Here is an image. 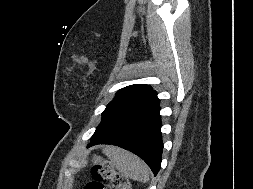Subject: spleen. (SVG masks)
I'll return each mask as SVG.
<instances>
[{
  "mask_svg": "<svg viewBox=\"0 0 253 189\" xmlns=\"http://www.w3.org/2000/svg\"><path fill=\"white\" fill-rule=\"evenodd\" d=\"M103 153L111 160L116 169L133 180L149 181L150 170L143 160L131 152L116 146H106Z\"/></svg>",
  "mask_w": 253,
  "mask_h": 189,
  "instance_id": "3e777b00",
  "label": "spleen"
}]
</instances>
